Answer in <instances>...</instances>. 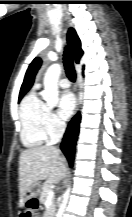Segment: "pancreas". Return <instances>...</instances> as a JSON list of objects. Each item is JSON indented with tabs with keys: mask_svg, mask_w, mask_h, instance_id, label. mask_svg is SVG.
<instances>
[{
	"mask_svg": "<svg viewBox=\"0 0 132 217\" xmlns=\"http://www.w3.org/2000/svg\"><path fill=\"white\" fill-rule=\"evenodd\" d=\"M52 190L51 184L48 182H45L42 185L41 193H40V203L45 204L48 198V192ZM56 208H55V200L54 198L51 200V207L44 213V217H54Z\"/></svg>",
	"mask_w": 132,
	"mask_h": 217,
	"instance_id": "pancreas-1",
	"label": "pancreas"
}]
</instances>
